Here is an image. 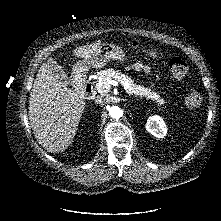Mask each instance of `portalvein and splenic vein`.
Instances as JSON below:
<instances>
[{
    "instance_id": "portal-vein-and-splenic-vein-1",
    "label": "portal vein and splenic vein",
    "mask_w": 221,
    "mask_h": 221,
    "mask_svg": "<svg viewBox=\"0 0 221 221\" xmlns=\"http://www.w3.org/2000/svg\"><path fill=\"white\" fill-rule=\"evenodd\" d=\"M104 84H105V88H106V89H109V88H110V85L117 86V85H118V82H117V81H114V80H107Z\"/></svg>"
}]
</instances>
